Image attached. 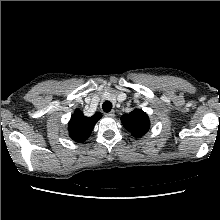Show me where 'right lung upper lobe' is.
Segmentation results:
<instances>
[{
    "mask_svg": "<svg viewBox=\"0 0 220 220\" xmlns=\"http://www.w3.org/2000/svg\"><path fill=\"white\" fill-rule=\"evenodd\" d=\"M101 117L99 112L92 117H86L79 109H76L68 125L70 137L78 143L86 141Z\"/></svg>",
    "mask_w": 220,
    "mask_h": 220,
    "instance_id": "1",
    "label": "right lung upper lobe"
}]
</instances>
